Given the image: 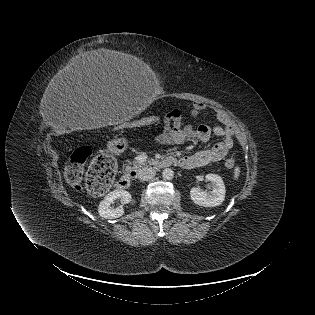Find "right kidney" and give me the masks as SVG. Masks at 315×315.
Here are the masks:
<instances>
[{"label": "right kidney", "instance_id": "obj_1", "mask_svg": "<svg viewBox=\"0 0 315 315\" xmlns=\"http://www.w3.org/2000/svg\"><path fill=\"white\" fill-rule=\"evenodd\" d=\"M131 194L125 190H114L107 194L98 206V213L102 218L115 219L124 214L123 204L131 201ZM116 199L121 200L119 207L114 208L113 203Z\"/></svg>", "mask_w": 315, "mask_h": 315}]
</instances>
